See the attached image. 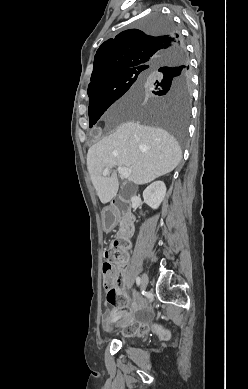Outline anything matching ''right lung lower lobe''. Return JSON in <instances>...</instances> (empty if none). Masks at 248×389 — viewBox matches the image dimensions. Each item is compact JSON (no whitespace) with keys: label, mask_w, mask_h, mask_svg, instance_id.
<instances>
[{"label":"right lung lower lobe","mask_w":248,"mask_h":389,"mask_svg":"<svg viewBox=\"0 0 248 389\" xmlns=\"http://www.w3.org/2000/svg\"><path fill=\"white\" fill-rule=\"evenodd\" d=\"M179 47H180V50L178 52H176L175 54H177L179 56H185V48L183 47V44L181 41L179 42Z\"/></svg>","instance_id":"1"}]
</instances>
